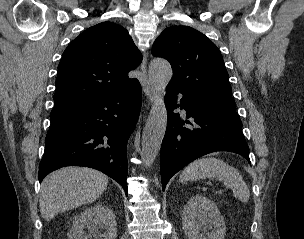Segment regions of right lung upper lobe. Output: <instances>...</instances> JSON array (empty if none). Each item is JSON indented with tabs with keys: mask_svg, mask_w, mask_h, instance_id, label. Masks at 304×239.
Returning <instances> with one entry per match:
<instances>
[{
	"mask_svg": "<svg viewBox=\"0 0 304 239\" xmlns=\"http://www.w3.org/2000/svg\"><path fill=\"white\" fill-rule=\"evenodd\" d=\"M141 61L122 26L102 22L88 28L63 53L50 117L75 111L134 81L128 72Z\"/></svg>",
	"mask_w": 304,
	"mask_h": 239,
	"instance_id": "1",
	"label": "right lung upper lobe"
}]
</instances>
